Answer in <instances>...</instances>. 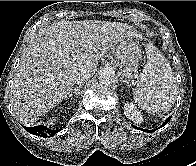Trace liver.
Segmentation results:
<instances>
[{"label":"liver","instance_id":"1","mask_svg":"<svg viewBox=\"0 0 196 166\" xmlns=\"http://www.w3.org/2000/svg\"><path fill=\"white\" fill-rule=\"evenodd\" d=\"M141 35L127 23L59 21L31 40L14 76L12 105L17 119L31 125L72 92L74 75H93L98 61L126 39Z\"/></svg>","mask_w":196,"mask_h":166}]
</instances>
